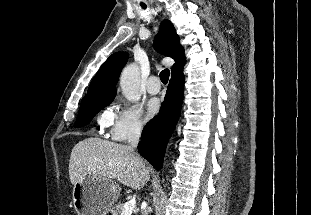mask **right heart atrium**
<instances>
[{"mask_svg":"<svg viewBox=\"0 0 311 215\" xmlns=\"http://www.w3.org/2000/svg\"><path fill=\"white\" fill-rule=\"evenodd\" d=\"M99 123L108 129L107 135L117 142L138 139L145 127L140 109L131 104H115L100 116Z\"/></svg>","mask_w":311,"mask_h":215,"instance_id":"1","label":"right heart atrium"}]
</instances>
